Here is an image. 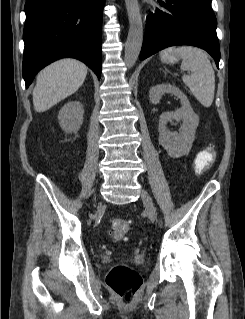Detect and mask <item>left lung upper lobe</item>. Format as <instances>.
Listing matches in <instances>:
<instances>
[{
	"mask_svg": "<svg viewBox=\"0 0 245 319\" xmlns=\"http://www.w3.org/2000/svg\"><path fill=\"white\" fill-rule=\"evenodd\" d=\"M198 1L211 5V0H198Z\"/></svg>",
	"mask_w": 245,
	"mask_h": 319,
	"instance_id": "left-lung-upper-lobe-1",
	"label": "left lung upper lobe"
}]
</instances>
